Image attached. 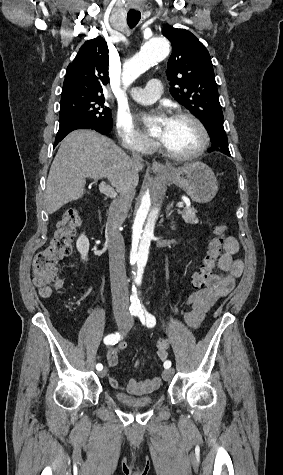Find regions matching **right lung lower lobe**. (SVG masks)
<instances>
[{
	"instance_id": "1",
	"label": "right lung lower lobe",
	"mask_w": 283,
	"mask_h": 475,
	"mask_svg": "<svg viewBox=\"0 0 283 475\" xmlns=\"http://www.w3.org/2000/svg\"><path fill=\"white\" fill-rule=\"evenodd\" d=\"M76 129H92L95 130L101 134H108L111 131V128H107L104 126L100 125H95L89 121L79 119V118H74V119H68L65 121L60 122L59 125V131L57 133V136L55 138V143L54 147L60 142L67 134H69L71 131L76 130Z\"/></svg>"
}]
</instances>
